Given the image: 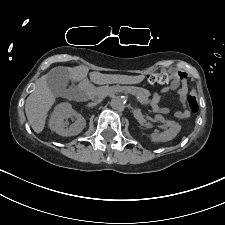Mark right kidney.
I'll list each match as a JSON object with an SVG mask.
<instances>
[{
  "mask_svg": "<svg viewBox=\"0 0 225 225\" xmlns=\"http://www.w3.org/2000/svg\"><path fill=\"white\" fill-rule=\"evenodd\" d=\"M75 118V122L69 126L68 118ZM85 118L72 109L69 103H61L57 105L51 114L49 127L61 136L78 135L85 127Z\"/></svg>",
  "mask_w": 225,
  "mask_h": 225,
  "instance_id": "right-kidney-1",
  "label": "right kidney"
}]
</instances>
